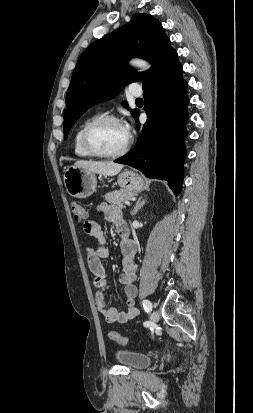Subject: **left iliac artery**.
Wrapping results in <instances>:
<instances>
[{"label":"left iliac artery","mask_w":253,"mask_h":413,"mask_svg":"<svg viewBox=\"0 0 253 413\" xmlns=\"http://www.w3.org/2000/svg\"><path fill=\"white\" fill-rule=\"evenodd\" d=\"M142 305L146 312H150L152 310V304L149 300H143Z\"/></svg>","instance_id":"44dca946"}]
</instances>
